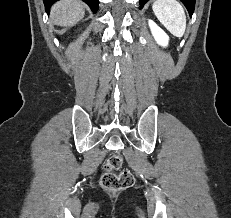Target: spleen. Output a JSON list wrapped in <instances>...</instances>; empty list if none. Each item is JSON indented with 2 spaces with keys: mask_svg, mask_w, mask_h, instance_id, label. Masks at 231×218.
Here are the masks:
<instances>
[{
  "mask_svg": "<svg viewBox=\"0 0 231 218\" xmlns=\"http://www.w3.org/2000/svg\"><path fill=\"white\" fill-rule=\"evenodd\" d=\"M152 9L158 20L176 37L186 30V16L177 0H156Z\"/></svg>",
  "mask_w": 231,
  "mask_h": 218,
  "instance_id": "1",
  "label": "spleen"
}]
</instances>
